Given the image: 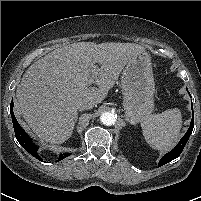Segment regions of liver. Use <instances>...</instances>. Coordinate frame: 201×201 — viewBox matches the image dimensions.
I'll use <instances>...</instances> for the list:
<instances>
[{"mask_svg": "<svg viewBox=\"0 0 201 201\" xmlns=\"http://www.w3.org/2000/svg\"><path fill=\"white\" fill-rule=\"evenodd\" d=\"M134 43L78 42L55 49L33 63L16 90L17 110L44 142L61 144L72 134L78 103H101L124 66L139 51ZM98 63L89 87L92 66Z\"/></svg>", "mask_w": 201, "mask_h": 201, "instance_id": "6515ba94", "label": "liver"}]
</instances>
